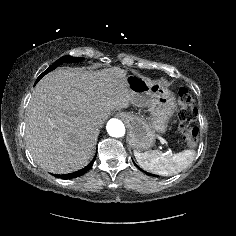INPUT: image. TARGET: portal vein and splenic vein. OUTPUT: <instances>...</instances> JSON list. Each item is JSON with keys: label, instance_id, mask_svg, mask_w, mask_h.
<instances>
[{"label": "portal vein and splenic vein", "instance_id": "1", "mask_svg": "<svg viewBox=\"0 0 236 236\" xmlns=\"http://www.w3.org/2000/svg\"><path fill=\"white\" fill-rule=\"evenodd\" d=\"M162 142H163L164 144H166V141H165V140H162Z\"/></svg>", "mask_w": 236, "mask_h": 236}]
</instances>
